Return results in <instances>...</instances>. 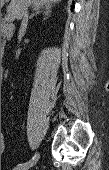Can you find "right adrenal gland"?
Wrapping results in <instances>:
<instances>
[{"label": "right adrenal gland", "mask_w": 109, "mask_h": 170, "mask_svg": "<svg viewBox=\"0 0 109 170\" xmlns=\"http://www.w3.org/2000/svg\"><path fill=\"white\" fill-rule=\"evenodd\" d=\"M42 13L43 15L49 17L51 15V7L50 6H44L40 9H36L35 12L29 17V19H32L35 15Z\"/></svg>", "instance_id": "2a0ac1e0"}]
</instances>
